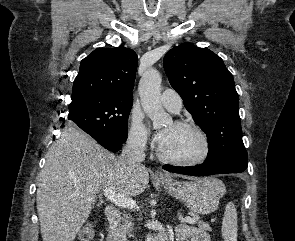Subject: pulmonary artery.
Returning <instances> with one entry per match:
<instances>
[{
	"instance_id": "e3ab8cb5",
	"label": "pulmonary artery",
	"mask_w": 295,
	"mask_h": 241,
	"mask_svg": "<svg viewBox=\"0 0 295 241\" xmlns=\"http://www.w3.org/2000/svg\"><path fill=\"white\" fill-rule=\"evenodd\" d=\"M163 106L172 113H178L183 105L180 95L172 89H166L160 97Z\"/></svg>"
}]
</instances>
